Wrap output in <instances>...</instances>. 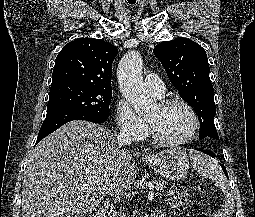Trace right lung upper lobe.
<instances>
[{
    "label": "right lung upper lobe",
    "instance_id": "right-lung-upper-lobe-1",
    "mask_svg": "<svg viewBox=\"0 0 255 217\" xmlns=\"http://www.w3.org/2000/svg\"><path fill=\"white\" fill-rule=\"evenodd\" d=\"M116 55L117 48L104 40L75 39L66 44L56 58L51 87L79 84L110 89Z\"/></svg>",
    "mask_w": 255,
    "mask_h": 217
}]
</instances>
